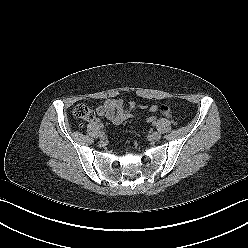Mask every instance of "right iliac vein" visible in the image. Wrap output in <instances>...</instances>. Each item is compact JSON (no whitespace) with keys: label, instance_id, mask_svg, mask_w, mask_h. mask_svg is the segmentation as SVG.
<instances>
[{"label":"right iliac vein","instance_id":"obj_1","mask_svg":"<svg viewBox=\"0 0 248 248\" xmlns=\"http://www.w3.org/2000/svg\"><path fill=\"white\" fill-rule=\"evenodd\" d=\"M99 138H100L101 140H105V139H106L105 133H104V132H100Z\"/></svg>","mask_w":248,"mask_h":248}]
</instances>
